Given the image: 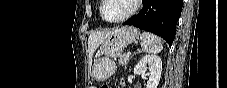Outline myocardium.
<instances>
[{
    "label": "myocardium",
    "mask_w": 227,
    "mask_h": 88,
    "mask_svg": "<svg viewBox=\"0 0 227 88\" xmlns=\"http://www.w3.org/2000/svg\"><path fill=\"white\" fill-rule=\"evenodd\" d=\"M108 1L109 0H102L101 1V6H100V9H99V13H100V16H101L102 20L104 22L110 23V24L121 23V22L126 21L130 17H132L136 13V11L138 9V6H139V3L141 2V0H130L131 1V5H132L130 11L127 14H125L124 16L120 17V18L110 20V19H107L105 17L104 12H103L104 7L108 3Z\"/></svg>",
    "instance_id": "1"
}]
</instances>
